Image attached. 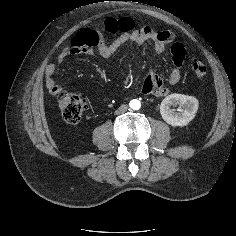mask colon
Instances as JSON below:
<instances>
[{
  "instance_id": "1",
  "label": "colon",
  "mask_w": 236,
  "mask_h": 236,
  "mask_svg": "<svg viewBox=\"0 0 236 236\" xmlns=\"http://www.w3.org/2000/svg\"><path fill=\"white\" fill-rule=\"evenodd\" d=\"M191 70L194 77L198 80H202L207 74V67L199 61L191 64ZM57 101L64 121L69 124L78 123L84 111L87 109V100L80 93H71L62 90L57 95Z\"/></svg>"
}]
</instances>
